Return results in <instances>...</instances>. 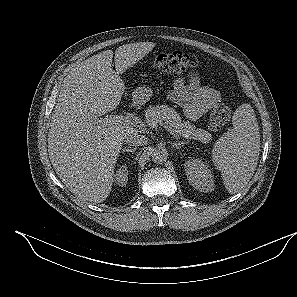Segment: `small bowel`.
Wrapping results in <instances>:
<instances>
[{"label":"small bowel","instance_id":"1","mask_svg":"<svg viewBox=\"0 0 297 297\" xmlns=\"http://www.w3.org/2000/svg\"><path fill=\"white\" fill-rule=\"evenodd\" d=\"M168 99L181 107L190 121L198 120L221 102L219 92L211 86L201 84L197 76L188 81L176 78L173 88L168 92Z\"/></svg>","mask_w":297,"mask_h":297}]
</instances>
